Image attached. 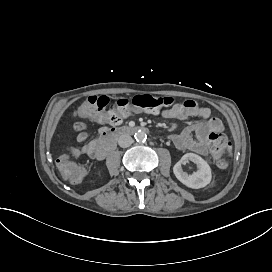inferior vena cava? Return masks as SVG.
Listing matches in <instances>:
<instances>
[{
  "label": "inferior vena cava",
  "mask_w": 272,
  "mask_h": 272,
  "mask_svg": "<svg viewBox=\"0 0 272 272\" xmlns=\"http://www.w3.org/2000/svg\"><path fill=\"white\" fill-rule=\"evenodd\" d=\"M133 142V139L128 134H123L118 139V144L120 147L126 148L129 147Z\"/></svg>",
  "instance_id": "obj_1"
}]
</instances>
